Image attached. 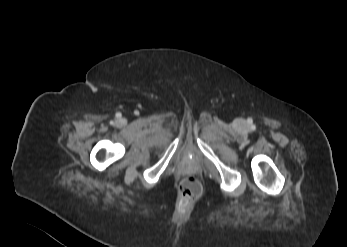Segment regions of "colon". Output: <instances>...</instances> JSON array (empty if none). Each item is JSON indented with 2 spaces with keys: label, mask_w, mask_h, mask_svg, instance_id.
I'll list each match as a JSON object with an SVG mask.
<instances>
[{
  "label": "colon",
  "mask_w": 347,
  "mask_h": 247,
  "mask_svg": "<svg viewBox=\"0 0 347 247\" xmlns=\"http://www.w3.org/2000/svg\"><path fill=\"white\" fill-rule=\"evenodd\" d=\"M180 191L189 199L198 197L201 193L198 178L192 174L184 176L180 182Z\"/></svg>",
  "instance_id": "1"
}]
</instances>
